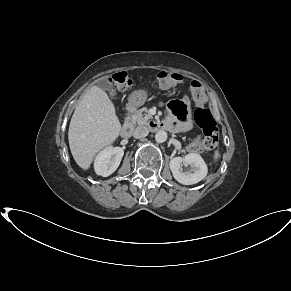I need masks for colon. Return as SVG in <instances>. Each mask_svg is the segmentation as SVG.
<instances>
[{
  "instance_id": "5ec220e1",
  "label": "colon",
  "mask_w": 291,
  "mask_h": 291,
  "mask_svg": "<svg viewBox=\"0 0 291 291\" xmlns=\"http://www.w3.org/2000/svg\"><path fill=\"white\" fill-rule=\"evenodd\" d=\"M182 80V75L177 72L160 71L156 75V86L159 89H169ZM133 84V78L126 72H118L113 74L107 81L108 87L113 90H124L130 88ZM193 96L198 103L205 101V95L202 86L198 82L193 83ZM171 106L177 112L178 117L184 115L183 106L173 101ZM196 124L202 131V134L194 138L189 144V150L197 152L200 150H215L219 143V129L211 112L200 106L194 114Z\"/></svg>"
}]
</instances>
